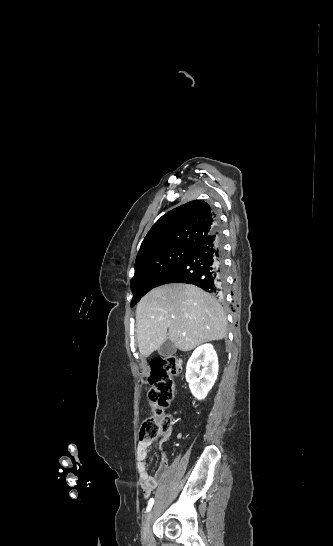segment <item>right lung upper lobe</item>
<instances>
[{"mask_svg":"<svg viewBox=\"0 0 333 546\" xmlns=\"http://www.w3.org/2000/svg\"><path fill=\"white\" fill-rule=\"evenodd\" d=\"M217 228L213 209L193 200L163 215L152 226L139 249L135 264L173 247H193Z\"/></svg>","mask_w":333,"mask_h":546,"instance_id":"obj_1","label":"right lung upper lobe"}]
</instances>
